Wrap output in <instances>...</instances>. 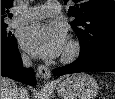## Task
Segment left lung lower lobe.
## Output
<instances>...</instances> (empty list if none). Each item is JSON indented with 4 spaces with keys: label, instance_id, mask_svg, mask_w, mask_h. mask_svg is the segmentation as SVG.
Instances as JSON below:
<instances>
[{
    "label": "left lung lower lobe",
    "instance_id": "1",
    "mask_svg": "<svg viewBox=\"0 0 115 99\" xmlns=\"http://www.w3.org/2000/svg\"><path fill=\"white\" fill-rule=\"evenodd\" d=\"M115 72V47L102 48L88 54H80L77 60L53 70L55 76L78 72Z\"/></svg>",
    "mask_w": 115,
    "mask_h": 99
}]
</instances>
